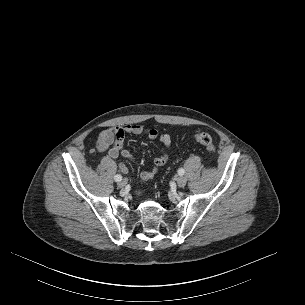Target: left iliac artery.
<instances>
[{
  "instance_id": "left-iliac-artery-1",
  "label": "left iliac artery",
  "mask_w": 305,
  "mask_h": 305,
  "mask_svg": "<svg viewBox=\"0 0 305 305\" xmlns=\"http://www.w3.org/2000/svg\"><path fill=\"white\" fill-rule=\"evenodd\" d=\"M184 172H185V171H184L183 168H180V169L178 170V174H179V175H184Z\"/></svg>"
}]
</instances>
